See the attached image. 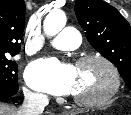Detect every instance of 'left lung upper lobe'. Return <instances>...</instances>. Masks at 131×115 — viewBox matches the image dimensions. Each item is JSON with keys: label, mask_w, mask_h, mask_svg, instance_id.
Here are the masks:
<instances>
[{"label": "left lung upper lobe", "mask_w": 131, "mask_h": 115, "mask_svg": "<svg viewBox=\"0 0 131 115\" xmlns=\"http://www.w3.org/2000/svg\"><path fill=\"white\" fill-rule=\"evenodd\" d=\"M75 14L90 44L111 61L131 90V27L103 0H77Z\"/></svg>", "instance_id": "5c2ea615"}]
</instances>
